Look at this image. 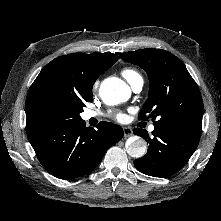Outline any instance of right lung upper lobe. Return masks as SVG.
Instances as JSON below:
<instances>
[{"instance_id": "cb5924a9", "label": "right lung upper lobe", "mask_w": 221, "mask_h": 221, "mask_svg": "<svg viewBox=\"0 0 221 221\" xmlns=\"http://www.w3.org/2000/svg\"><path fill=\"white\" fill-rule=\"evenodd\" d=\"M118 56L113 53L69 54L55 58L39 73L27 94L26 131L39 126L33 115L36 97L48 89H56L85 98L92 95V87L97 78L110 68Z\"/></svg>"}]
</instances>
